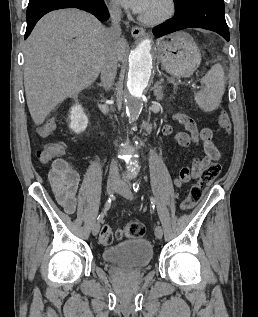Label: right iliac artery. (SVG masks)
Instances as JSON below:
<instances>
[{
	"label": "right iliac artery",
	"mask_w": 258,
	"mask_h": 317,
	"mask_svg": "<svg viewBox=\"0 0 258 317\" xmlns=\"http://www.w3.org/2000/svg\"><path fill=\"white\" fill-rule=\"evenodd\" d=\"M112 198H113V194H111L107 198L103 212L101 214H99V216L97 217L98 221H101L103 219L104 215L106 214V212L110 209V207L112 205Z\"/></svg>",
	"instance_id": "right-iliac-artery-1"
}]
</instances>
